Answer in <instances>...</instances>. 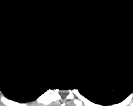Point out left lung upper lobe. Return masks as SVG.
Returning <instances> with one entry per match:
<instances>
[{"label":"left lung upper lobe","mask_w":133,"mask_h":106,"mask_svg":"<svg viewBox=\"0 0 133 106\" xmlns=\"http://www.w3.org/2000/svg\"><path fill=\"white\" fill-rule=\"evenodd\" d=\"M86 77L79 92L91 102L111 106L133 91V56L102 41L89 45L83 54Z\"/></svg>","instance_id":"left-lung-upper-lobe-1"}]
</instances>
